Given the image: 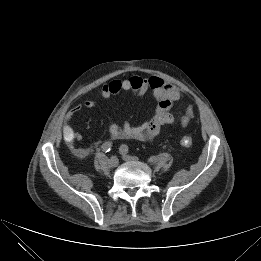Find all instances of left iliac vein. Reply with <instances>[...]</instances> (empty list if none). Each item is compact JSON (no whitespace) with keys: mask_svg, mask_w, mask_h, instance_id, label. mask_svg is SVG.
<instances>
[{"mask_svg":"<svg viewBox=\"0 0 261 261\" xmlns=\"http://www.w3.org/2000/svg\"><path fill=\"white\" fill-rule=\"evenodd\" d=\"M122 158H123V160H125V161H133V160H136L135 157H132V156H130V155H127L126 153H122Z\"/></svg>","mask_w":261,"mask_h":261,"instance_id":"left-iliac-vein-1","label":"left iliac vein"}]
</instances>
